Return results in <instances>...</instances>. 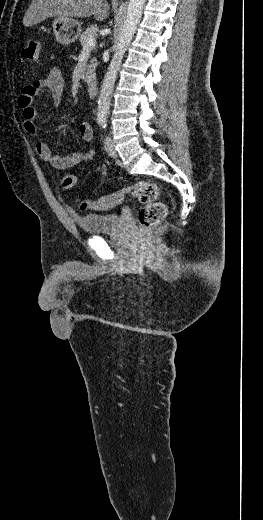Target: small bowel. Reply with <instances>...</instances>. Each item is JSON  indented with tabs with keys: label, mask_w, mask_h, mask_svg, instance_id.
Returning <instances> with one entry per match:
<instances>
[{
	"label": "small bowel",
	"mask_w": 263,
	"mask_h": 520,
	"mask_svg": "<svg viewBox=\"0 0 263 520\" xmlns=\"http://www.w3.org/2000/svg\"><path fill=\"white\" fill-rule=\"evenodd\" d=\"M63 90L64 78L58 68H53L46 78L34 81L22 89L18 104L22 109L23 128L27 134L31 136L37 134V110L33 105L34 98L39 94L48 93L54 101H57L62 96ZM79 133L86 142L93 138V129L88 122L79 125ZM35 148L39 157L56 169H68L80 163L90 162L95 157V150L91 148L67 156L54 155L49 146L40 139L36 140Z\"/></svg>",
	"instance_id": "1"
}]
</instances>
